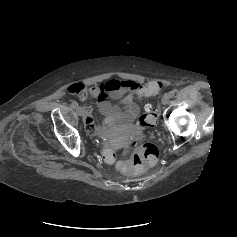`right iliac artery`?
Instances as JSON below:
<instances>
[{
  "label": "right iliac artery",
  "mask_w": 237,
  "mask_h": 237,
  "mask_svg": "<svg viewBox=\"0 0 237 237\" xmlns=\"http://www.w3.org/2000/svg\"><path fill=\"white\" fill-rule=\"evenodd\" d=\"M71 106H72V108H77V106H78V103H77V102H75V101H73V102L71 103Z\"/></svg>",
  "instance_id": "82829eb1"
}]
</instances>
